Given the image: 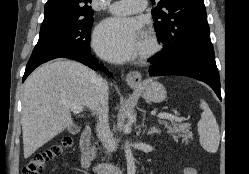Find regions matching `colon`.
Returning <instances> with one entry per match:
<instances>
[{
    "mask_svg": "<svg viewBox=\"0 0 249 174\" xmlns=\"http://www.w3.org/2000/svg\"><path fill=\"white\" fill-rule=\"evenodd\" d=\"M72 145V138L64 136L48 149L35 153L26 163L22 174H43L46 164L56 158Z\"/></svg>",
    "mask_w": 249,
    "mask_h": 174,
    "instance_id": "obj_1",
    "label": "colon"
}]
</instances>
